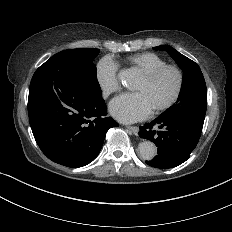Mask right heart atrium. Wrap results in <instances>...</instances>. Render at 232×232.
I'll return each mask as SVG.
<instances>
[{
    "instance_id": "right-heart-atrium-1",
    "label": "right heart atrium",
    "mask_w": 232,
    "mask_h": 232,
    "mask_svg": "<svg viewBox=\"0 0 232 232\" xmlns=\"http://www.w3.org/2000/svg\"><path fill=\"white\" fill-rule=\"evenodd\" d=\"M117 72L118 65L110 56L102 57L96 64V81L106 95L119 90V83L116 79Z\"/></svg>"
}]
</instances>
